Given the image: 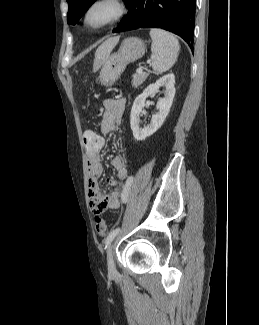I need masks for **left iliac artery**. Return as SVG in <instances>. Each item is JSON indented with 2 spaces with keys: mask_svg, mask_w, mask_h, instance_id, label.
Segmentation results:
<instances>
[{
  "mask_svg": "<svg viewBox=\"0 0 259 325\" xmlns=\"http://www.w3.org/2000/svg\"><path fill=\"white\" fill-rule=\"evenodd\" d=\"M132 183H133V177L131 176L127 179L126 184L124 186L123 193H122V201L124 203H127V201H128L129 191H130V187H131ZM119 231H120V228H116L109 233V235L107 236V238L105 240L106 248L111 243V241L115 238V236L119 233Z\"/></svg>",
  "mask_w": 259,
  "mask_h": 325,
  "instance_id": "left-iliac-artery-1",
  "label": "left iliac artery"
}]
</instances>
